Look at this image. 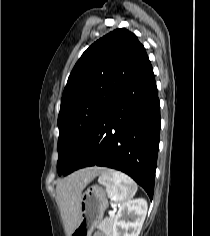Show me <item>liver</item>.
I'll list each match as a JSON object with an SVG mask.
<instances>
[{"instance_id":"6515ba94","label":"liver","mask_w":210,"mask_h":236,"mask_svg":"<svg viewBox=\"0 0 210 236\" xmlns=\"http://www.w3.org/2000/svg\"><path fill=\"white\" fill-rule=\"evenodd\" d=\"M105 171L102 167L81 169L58 181L56 191L58 204L70 236L77 224L82 191L95 177Z\"/></svg>"}]
</instances>
